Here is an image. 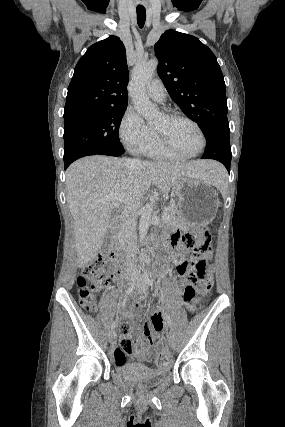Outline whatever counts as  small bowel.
<instances>
[{"mask_svg":"<svg viewBox=\"0 0 285 427\" xmlns=\"http://www.w3.org/2000/svg\"><path fill=\"white\" fill-rule=\"evenodd\" d=\"M169 242L172 245H177L178 240L173 237V235L169 236ZM205 255H196L189 254L182 261H186L187 259H204ZM145 302L144 296H139L135 303L133 304V309H129L126 306H122L120 309L121 317L128 321L130 324L129 338H132L136 341L139 346V350L137 353L132 355V359L136 361H149L151 359V353L156 349L155 341H159V332L161 331L162 326V314L161 312L155 311L151 317V320L145 321L143 324V330L137 324V320L142 316L143 305ZM181 305L184 306L188 311H193L195 306L192 302L182 301ZM114 359L117 366L122 367L128 362V356L124 353L116 350L114 353Z\"/></svg>","mask_w":285,"mask_h":427,"instance_id":"obj_1","label":"small bowel"}]
</instances>
